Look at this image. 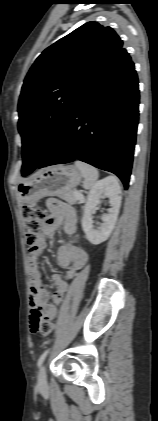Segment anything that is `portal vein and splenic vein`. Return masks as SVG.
<instances>
[{"label": "portal vein and splenic vein", "instance_id": "obj_1", "mask_svg": "<svg viewBox=\"0 0 158 421\" xmlns=\"http://www.w3.org/2000/svg\"><path fill=\"white\" fill-rule=\"evenodd\" d=\"M74 195H75L76 197H78V198H82V197H83V195H82L80 192H78V191H75V192H74Z\"/></svg>", "mask_w": 158, "mask_h": 421}]
</instances>
